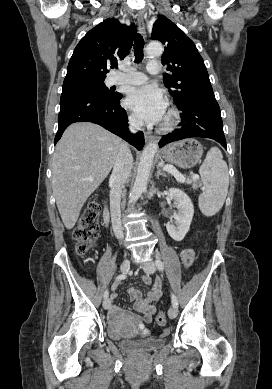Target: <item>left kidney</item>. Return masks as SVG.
<instances>
[{
    "instance_id": "obj_1",
    "label": "left kidney",
    "mask_w": 272,
    "mask_h": 389,
    "mask_svg": "<svg viewBox=\"0 0 272 389\" xmlns=\"http://www.w3.org/2000/svg\"><path fill=\"white\" fill-rule=\"evenodd\" d=\"M169 197L175 201L178 212L173 214L174 222H168L166 229L172 239L181 241L189 231L194 206L189 196L180 189L170 188Z\"/></svg>"
}]
</instances>
